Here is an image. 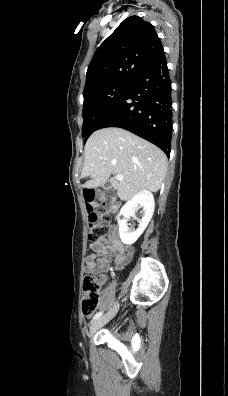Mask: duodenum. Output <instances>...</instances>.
<instances>
[{
    "label": "duodenum",
    "mask_w": 228,
    "mask_h": 396,
    "mask_svg": "<svg viewBox=\"0 0 228 396\" xmlns=\"http://www.w3.org/2000/svg\"><path fill=\"white\" fill-rule=\"evenodd\" d=\"M114 209H117V206H114Z\"/></svg>",
    "instance_id": "duodenum-1"
}]
</instances>
